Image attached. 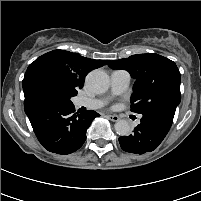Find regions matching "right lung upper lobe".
<instances>
[{"label":"right lung upper lobe","mask_w":201,"mask_h":201,"mask_svg":"<svg viewBox=\"0 0 201 201\" xmlns=\"http://www.w3.org/2000/svg\"><path fill=\"white\" fill-rule=\"evenodd\" d=\"M106 63L107 61L89 59L64 50L48 52L37 58L27 68L22 81L24 102L41 96L39 89L45 80L55 81L75 96L77 89L83 87L86 75Z\"/></svg>","instance_id":"1"}]
</instances>
